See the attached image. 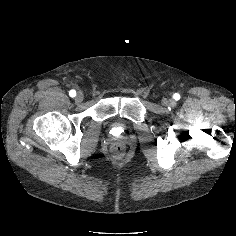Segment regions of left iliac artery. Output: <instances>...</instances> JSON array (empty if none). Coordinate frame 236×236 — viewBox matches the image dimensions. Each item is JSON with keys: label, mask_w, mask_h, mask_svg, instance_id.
Listing matches in <instances>:
<instances>
[{"label": "left iliac artery", "mask_w": 236, "mask_h": 236, "mask_svg": "<svg viewBox=\"0 0 236 236\" xmlns=\"http://www.w3.org/2000/svg\"><path fill=\"white\" fill-rule=\"evenodd\" d=\"M173 98H174L175 100H179V99H180V95H179L178 93H175L174 96H173Z\"/></svg>", "instance_id": "left-iliac-artery-1"}]
</instances>
